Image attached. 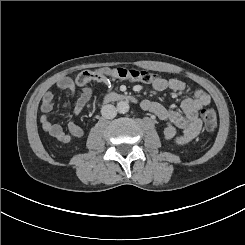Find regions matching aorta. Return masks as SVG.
<instances>
[{
    "label": "aorta",
    "instance_id": "aorta-1",
    "mask_svg": "<svg viewBox=\"0 0 245 245\" xmlns=\"http://www.w3.org/2000/svg\"><path fill=\"white\" fill-rule=\"evenodd\" d=\"M130 109L129 103L127 101H120L117 104V110L119 113H127Z\"/></svg>",
    "mask_w": 245,
    "mask_h": 245
}]
</instances>
